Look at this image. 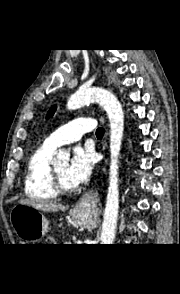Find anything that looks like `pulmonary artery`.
<instances>
[{
    "label": "pulmonary artery",
    "mask_w": 180,
    "mask_h": 294,
    "mask_svg": "<svg viewBox=\"0 0 180 294\" xmlns=\"http://www.w3.org/2000/svg\"><path fill=\"white\" fill-rule=\"evenodd\" d=\"M95 119L91 117H82L68 122L54 131L46 140L45 144L58 148L63 144L72 143L81 139L84 133L93 130ZM89 216V215H88Z\"/></svg>",
    "instance_id": "obj_1"
}]
</instances>
